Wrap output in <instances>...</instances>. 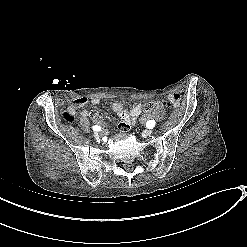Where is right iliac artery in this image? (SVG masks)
I'll return each mask as SVG.
<instances>
[{"mask_svg":"<svg viewBox=\"0 0 247 247\" xmlns=\"http://www.w3.org/2000/svg\"><path fill=\"white\" fill-rule=\"evenodd\" d=\"M92 129H93L94 131H100V130H101V127L98 126V125H95V126L92 127Z\"/></svg>","mask_w":247,"mask_h":247,"instance_id":"obj_1","label":"right iliac artery"}]
</instances>
